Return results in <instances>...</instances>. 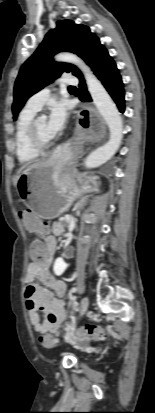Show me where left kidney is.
I'll list each match as a JSON object with an SVG mask.
<instances>
[{"label":"left kidney","instance_id":"left-kidney-1","mask_svg":"<svg viewBox=\"0 0 155 413\" xmlns=\"http://www.w3.org/2000/svg\"><path fill=\"white\" fill-rule=\"evenodd\" d=\"M67 267L68 264H66L62 258H57L53 265V271L55 275L60 276L64 273Z\"/></svg>","mask_w":155,"mask_h":413}]
</instances>
